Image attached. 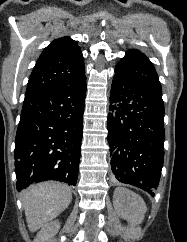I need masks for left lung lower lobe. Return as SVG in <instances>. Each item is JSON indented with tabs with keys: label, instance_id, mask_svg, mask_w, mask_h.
<instances>
[{
	"label": "left lung lower lobe",
	"instance_id": "obj_1",
	"mask_svg": "<svg viewBox=\"0 0 187 242\" xmlns=\"http://www.w3.org/2000/svg\"><path fill=\"white\" fill-rule=\"evenodd\" d=\"M107 119L115 178L154 196L164 157L162 95L114 75Z\"/></svg>",
	"mask_w": 187,
	"mask_h": 242
}]
</instances>
